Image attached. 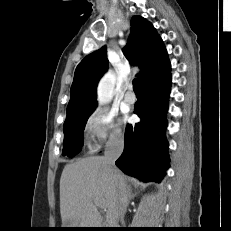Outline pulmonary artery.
Instances as JSON below:
<instances>
[{"label": "pulmonary artery", "mask_w": 231, "mask_h": 231, "mask_svg": "<svg viewBox=\"0 0 231 231\" xmlns=\"http://www.w3.org/2000/svg\"><path fill=\"white\" fill-rule=\"evenodd\" d=\"M124 101H125L127 104H133V103H135V101H136V96H135V94L132 92V87H131V86H129L128 91L125 93Z\"/></svg>", "instance_id": "1"}]
</instances>
